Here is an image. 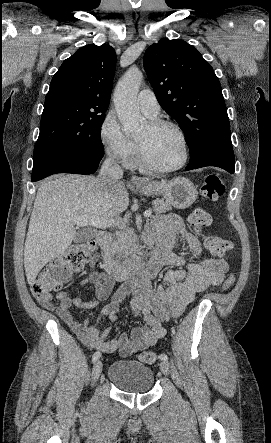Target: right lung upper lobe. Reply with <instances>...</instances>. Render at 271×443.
Listing matches in <instances>:
<instances>
[{"label":"right lung upper lobe","instance_id":"cb5924a9","mask_svg":"<svg viewBox=\"0 0 271 443\" xmlns=\"http://www.w3.org/2000/svg\"><path fill=\"white\" fill-rule=\"evenodd\" d=\"M116 68V54L107 44L86 45L66 59L53 76L45 104L72 101L107 109Z\"/></svg>","mask_w":271,"mask_h":443}]
</instances>
